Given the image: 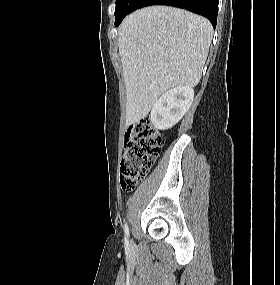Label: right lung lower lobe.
<instances>
[{
    "label": "right lung lower lobe",
    "instance_id": "1",
    "mask_svg": "<svg viewBox=\"0 0 280 285\" xmlns=\"http://www.w3.org/2000/svg\"><path fill=\"white\" fill-rule=\"evenodd\" d=\"M219 0H137L132 11L151 5H168L183 8L206 17L216 28ZM119 21L115 25L118 26Z\"/></svg>",
    "mask_w": 280,
    "mask_h": 285
}]
</instances>
